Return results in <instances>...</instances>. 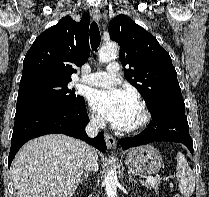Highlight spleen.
Returning a JSON list of instances; mask_svg holds the SVG:
<instances>
[{
  "mask_svg": "<svg viewBox=\"0 0 209 197\" xmlns=\"http://www.w3.org/2000/svg\"><path fill=\"white\" fill-rule=\"evenodd\" d=\"M176 159V178L179 182L180 192L185 197H190L195 190V177L193 171L188 165L185 156L181 152L177 153Z\"/></svg>",
  "mask_w": 209,
  "mask_h": 197,
  "instance_id": "3e777b00",
  "label": "spleen"
}]
</instances>
